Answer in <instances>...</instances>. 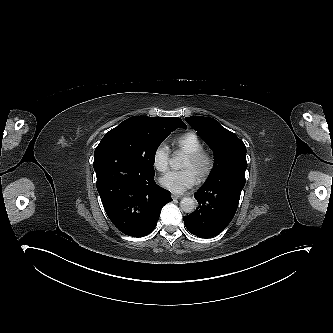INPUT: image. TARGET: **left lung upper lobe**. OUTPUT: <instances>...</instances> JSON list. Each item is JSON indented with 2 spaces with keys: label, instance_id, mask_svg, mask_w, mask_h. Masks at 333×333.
Segmentation results:
<instances>
[{
  "label": "left lung upper lobe",
  "instance_id": "5c2ea615",
  "mask_svg": "<svg viewBox=\"0 0 333 333\" xmlns=\"http://www.w3.org/2000/svg\"><path fill=\"white\" fill-rule=\"evenodd\" d=\"M185 120L213 149L214 167L207 183L217 181L220 177L229 182L244 175L247 161L246 147L242 140L213 118L193 116Z\"/></svg>",
  "mask_w": 333,
  "mask_h": 333
}]
</instances>
